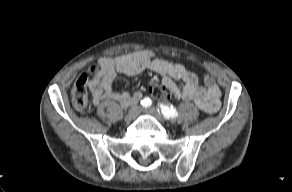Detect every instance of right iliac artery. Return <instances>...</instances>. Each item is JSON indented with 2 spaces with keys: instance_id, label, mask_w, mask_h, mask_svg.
I'll use <instances>...</instances> for the list:
<instances>
[{
  "instance_id": "82829eb1",
  "label": "right iliac artery",
  "mask_w": 292,
  "mask_h": 192,
  "mask_svg": "<svg viewBox=\"0 0 292 192\" xmlns=\"http://www.w3.org/2000/svg\"><path fill=\"white\" fill-rule=\"evenodd\" d=\"M140 103H141V105H142L143 107H149V106H151L152 101H151L150 98L145 97V98H143V99L141 100Z\"/></svg>"
}]
</instances>
